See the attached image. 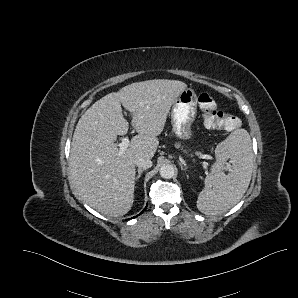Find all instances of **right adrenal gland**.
Masks as SVG:
<instances>
[{"label":"right adrenal gland","instance_id":"obj_1","mask_svg":"<svg viewBox=\"0 0 298 298\" xmlns=\"http://www.w3.org/2000/svg\"><path fill=\"white\" fill-rule=\"evenodd\" d=\"M145 170V168H138L136 174H135V178H134V181H136L135 185L137 184V180L140 178L141 176V173Z\"/></svg>","mask_w":298,"mask_h":298}]
</instances>
